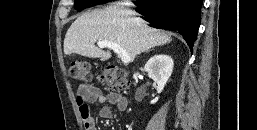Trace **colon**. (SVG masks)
I'll return each instance as SVG.
<instances>
[{
	"instance_id": "obj_1",
	"label": "colon",
	"mask_w": 257,
	"mask_h": 130,
	"mask_svg": "<svg viewBox=\"0 0 257 130\" xmlns=\"http://www.w3.org/2000/svg\"><path fill=\"white\" fill-rule=\"evenodd\" d=\"M70 76L78 81H90V67L84 62H74L69 69ZM103 82L107 90L112 92H122L127 87V73L119 68L110 66L107 67L102 74Z\"/></svg>"
}]
</instances>
